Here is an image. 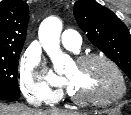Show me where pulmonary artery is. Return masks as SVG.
<instances>
[{
	"mask_svg": "<svg viewBox=\"0 0 131 115\" xmlns=\"http://www.w3.org/2000/svg\"><path fill=\"white\" fill-rule=\"evenodd\" d=\"M61 43L69 50L78 51L81 46V37L74 30H65L61 36Z\"/></svg>",
	"mask_w": 131,
	"mask_h": 115,
	"instance_id": "e3ab8cb5",
	"label": "pulmonary artery"
}]
</instances>
